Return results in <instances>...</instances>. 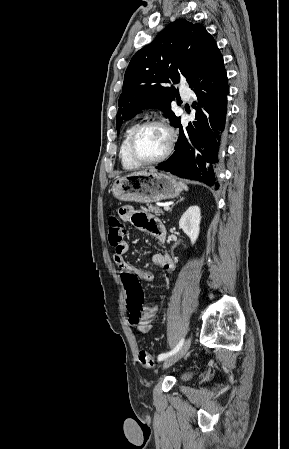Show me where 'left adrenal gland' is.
<instances>
[{"mask_svg": "<svg viewBox=\"0 0 289 449\" xmlns=\"http://www.w3.org/2000/svg\"><path fill=\"white\" fill-rule=\"evenodd\" d=\"M184 200V198H180V200H178L177 202H176V204L177 203H179V202H181V201H183ZM175 205V204H174ZM174 205H172V207L174 206ZM172 208H170V210H171Z\"/></svg>", "mask_w": 289, "mask_h": 449, "instance_id": "obj_1", "label": "left adrenal gland"}]
</instances>
